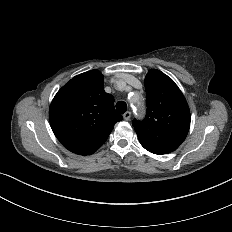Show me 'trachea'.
Segmentation results:
<instances>
[{"label":"trachea","mask_w":232,"mask_h":232,"mask_svg":"<svg viewBox=\"0 0 232 232\" xmlns=\"http://www.w3.org/2000/svg\"><path fill=\"white\" fill-rule=\"evenodd\" d=\"M116 109L119 113H125L127 110V104L124 101H118L116 103Z\"/></svg>","instance_id":"trachea-1"}]
</instances>
